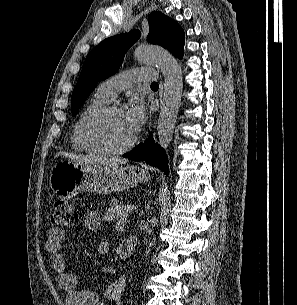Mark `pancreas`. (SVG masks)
Segmentation results:
<instances>
[{"label":"pancreas","mask_w":297,"mask_h":305,"mask_svg":"<svg viewBox=\"0 0 297 305\" xmlns=\"http://www.w3.org/2000/svg\"><path fill=\"white\" fill-rule=\"evenodd\" d=\"M126 206L116 198H113L111 201V206L107 209L104 218L109 222H117L120 224H124L127 220L128 212Z\"/></svg>","instance_id":"obj_1"}]
</instances>
